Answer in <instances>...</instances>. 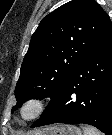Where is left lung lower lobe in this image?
I'll return each mask as SVG.
<instances>
[{"mask_svg": "<svg viewBox=\"0 0 112 135\" xmlns=\"http://www.w3.org/2000/svg\"><path fill=\"white\" fill-rule=\"evenodd\" d=\"M54 123L89 124L112 135V25L31 128Z\"/></svg>", "mask_w": 112, "mask_h": 135, "instance_id": "0a47b994", "label": "left lung lower lobe"}]
</instances>
